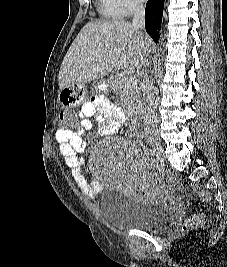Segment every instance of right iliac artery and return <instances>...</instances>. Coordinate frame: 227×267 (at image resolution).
Masks as SVG:
<instances>
[{
  "label": "right iliac artery",
  "mask_w": 227,
  "mask_h": 267,
  "mask_svg": "<svg viewBox=\"0 0 227 267\" xmlns=\"http://www.w3.org/2000/svg\"><path fill=\"white\" fill-rule=\"evenodd\" d=\"M148 154H149L151 157H154V156H155V151L150 149Z\"/></svg>",
  "instance_id": "1"
}]
</instances>
